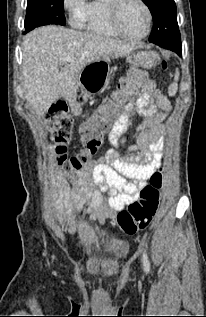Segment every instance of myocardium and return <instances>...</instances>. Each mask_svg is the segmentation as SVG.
<instances>
[{
	"mask_svg": "<svg viewBox=\"0 0 206 317\" xmlns=\"http://www.w3.org/2000/svg\"><path fill=\"white\" fill-rule=\"evenodd\" d=\"M107 11H108V18L110 25L114 32L125 39L128 40H142L146 38L151 31L152 28V23H153V15L150 7L144 0H136L145 10L146 16H147V26L145 31L141 35L137 36H132L123 31V29L120 26V12L123 7V5L128 1V0H107Z\"/></svg>",
	"mask_w": 206,
	"mask_h": 317,
	"instance_id": "1",
	"label": "myocardium"
}]
</instances>
